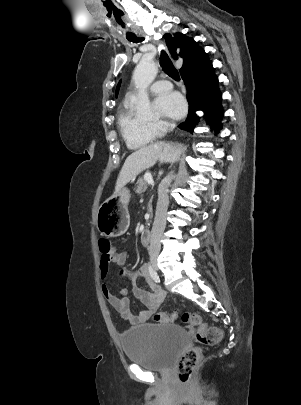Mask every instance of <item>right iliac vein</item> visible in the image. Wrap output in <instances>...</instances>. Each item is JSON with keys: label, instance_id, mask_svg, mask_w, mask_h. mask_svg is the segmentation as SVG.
<instances>
[{"label": "right iliac vein", "instance_id": "right-iliac-vein-1", "mask_svg": "<svg viewBox=\"0 0 301 405\" xmlns=\"http://www.w3.org/2000/svg\"><path fill=\"white\" fill-rule=\"evenodd\" d=\"M151 263L153 265V267L156 269V256H151Z\"/></svg>", "mask_w": 301, "mask_h": 405}]
</instances>
